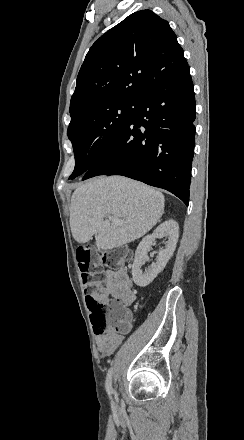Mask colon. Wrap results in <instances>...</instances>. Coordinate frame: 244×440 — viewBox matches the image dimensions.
Returning <instances> with one entry per match:
<instances>
[{"label":"colon","mask_w":244,"mask_h":440,"mask_svg":"<svg viewBox=\"0 0 244 440\" xmlns=\"http://www.w3.org/2000/svg\"><path fill=\"white\" fill-rule=\"evenodd\" d=\"M75 254L78 259L77 269L82 271L84 286V301L87 303L86 310L91 313L92 319H105V328L115 334L125 333L128 327V319L131 318L130 305H121L115 302L110 304H99L98 298L93 295L95 287L101 281L102 272H114L117 267H122L124 257L126 260L131 255L130 248H111L108 251L109 257L106 263L90 262L92 252L87 247L77 248ZM101 264V266H100Z\"/></svg>","instance_id":"1"}]
</instances>
